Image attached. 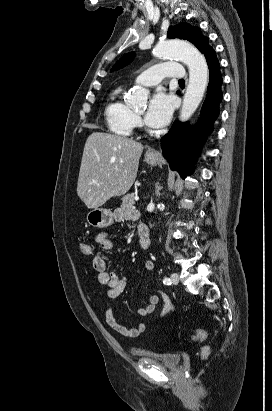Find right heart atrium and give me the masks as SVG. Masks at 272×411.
Wrapping results in <instances>:
<instances>
[{
	"mask_svg": "<svg viewBox=\"0 0 272 411\" xmlns=\"http://www.w3.org/2000/svg\"><path fill=\"white\" fill-rule=\"evenodd\" d=\"M134 120H135V126H137V125H139V124H140V119H139V117H138V116H136V115H135Z\"/></svg>",
	"mask_w": 272,
	"mask_h": 411,
	"instance_id": "right-heart-atrium-1",
	"label": "right heart atrium"
}]
</instances>
